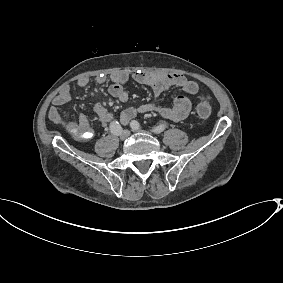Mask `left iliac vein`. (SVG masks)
I'll return each instance as SVG.
<instances>
[{"instance_id": "1", "label": "left iliac vein", "mask_w": 283, "mask_h": 283, "mask_svg": "<svg viewBox=\"0 0 283 283\" xmlns=\"http://www.w3.org/2000/svg\"><path fill=\"white\" fill-rule=\"evenodd\" d=\"M133 132H141V133H150L149 131H146L144 129L141 128H137V127H131Z\"/></svg>"}]
</instances>
